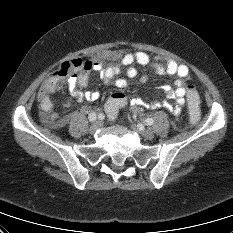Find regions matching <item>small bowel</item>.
I'll return each instance as SVG.
<instances>
[{
	"mask_svg": "<svg viewBox=\"0 0 233 233\" xmlns=\"http://www.w3.org/2000/svg\"><path fill=\"white\" fill-rule=\"evenodd\" d=\"M106 57L115 62L106 67H103L99 62H94L92 63L91 70L99 72L103 82L107 86L114 84L117 88H125L127 86V80L125 78H117V76L123 68H126L127 77L135 78L137 76L136 64L141 66L152 64L159 74L176 75L177 79L175 80V88L166 87L164 89L167 99L173 100L174 105L170 104L167 100L162 103L157 101L148 103L132 97L131 107L135 110L142 107L151 109L164 108L175 115L181 112L186 95L184 82L191 78L190 70L186 65L178 63L175 60H163L159 55L151 57L145 52H134L124 55L110 52L106 54ZM140 82L146 83L147 77L142 76L140 78ZM68 85L72 94L80 100L86 99L88 101H95L101 96L99 91L87 89L88 72L79 76H70L68 79ZM46 119L53 127H61L65 124V119L60 118L56 113L48 114Z\"/></svg>",
	"mask_w": 233,
	"mask_h": 233,
	"instance_id": "obj_1",
	"label": "small bowel"
}]
</instances>
